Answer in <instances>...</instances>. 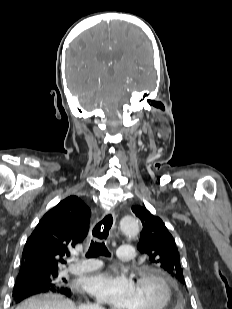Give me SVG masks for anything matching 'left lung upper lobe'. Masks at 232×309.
I'll return each instance as SVG.
<instances>
[{
    "instance_id": "left-lung-upper-lobe-1",
    "label": "left lung upper lobe",
    "mask_w": 232,
    "mask_h": 309,
    "mask_svg": "<svg viewBox=\"0 0 232 309\" xmlns=\"http://www.w3.org/2000/svg\"><path fill=\"white\" fill-rule=\"evenodd\" d=\"M132 211L141 220L143 229L138 244L141 254L181 283H185L180 255L172 235L163 221L145 207L134 206Z\"/></svg>"
}]
</instances>
